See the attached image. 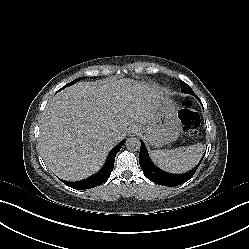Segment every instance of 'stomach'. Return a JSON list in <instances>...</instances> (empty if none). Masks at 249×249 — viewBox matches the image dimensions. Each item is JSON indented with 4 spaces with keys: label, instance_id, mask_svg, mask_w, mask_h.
I'll use <instances>...</instances> for the list:
<instances>
[{
    "label": "stomach",
    "instance_id": "1",
    "mask_svg": "<svg viewBox=\"0 0 249 249\" xmlns=\"http://www.w3.org/2000/svg\"><path fill=\"white\" fill-rule=\"evenodd\" d=\"M156 107L154 120L143 127V138L149 146L160 148L175 141L181 123L176 116L175 103L168 96L158 95Z\"/></svg>",
    "mask_w": 249,
    "mask_h": 249
}]
</instances>
